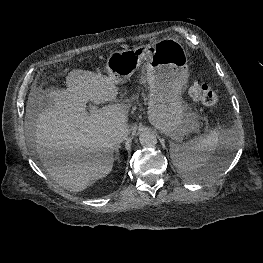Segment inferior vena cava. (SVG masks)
Wrapping results in <instances>:
<instances>
[{
	"instance_id": "602c4592",
	"label": "inferior vena cava",
	"mask_w": 263,
	"mask_h": 263,
	"mask_svg": "<svg viewBox=\"0 0 263 263\" xmlns=\"http://www.w3.org/2000/svg\"><path fill=\"white\" fill-rule=\"evenodd\" d=\"M129 134L126 127L115 128L110 132L111 141L114 144L123 142Z\"/></svg>"
}]
</instances>
